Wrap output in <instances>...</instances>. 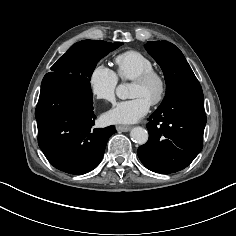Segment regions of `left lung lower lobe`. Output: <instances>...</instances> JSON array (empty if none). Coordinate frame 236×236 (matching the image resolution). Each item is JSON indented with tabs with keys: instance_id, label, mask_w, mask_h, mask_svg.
<instances>
[{
	"instance_id": "0a47b994",
	"label": "left lung lower lobe",
	"mask_w": 236,
	"mask_h": 236,
	"mask_svg": "<svg viewBox=\"0 0 236 236\" xmlns=\"http://www.w3.org/2000/svg\"><path fill=\"white\" fill-rule=\"evenodd\" d=\"M148 120L149 140L137 151L143 165L161 174L186 168L203 148L207 119L200 84L176 91Z\"/></svg>"
}]
</instances>
